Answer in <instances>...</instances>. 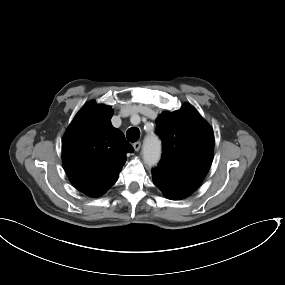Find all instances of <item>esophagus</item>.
<instances>
[{
	"label": "esophagus",
	"mask_w": 285,
	"mask_h": 285,
	"mask_svg": "<svg viewBox=\"0 0 285 285\" xmlns=\"http://www.w3.org/2000/svg\"><path fill=\"white\" fill-rule=\"evenodd\" d=\"M133 148H134L135 151H139L140 148H141V142H135L133 144Z\"/></svg>",
	"instance_id": "1"
}]
</instances>
